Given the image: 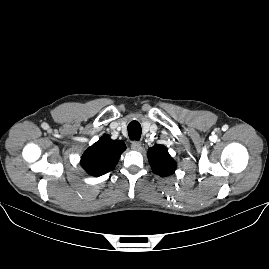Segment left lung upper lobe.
Instances as JSON below:
<instances>
[{"mask_svg": "<svg viewBox=\"0 0 269 269\" xmlns=\"http://www.w3.org/2000/svg\"><path fill=\"white\" fill-rule=\"evenodd\" d=\"M148 159L154 173L168 176L174 173L176 163L165 146L156 144L148 150Z\"/></svg>", "mask_w": 269, "mask_h": 269, "instance_id": "1", "label": "left lung upper lobe"}]
</instances>
